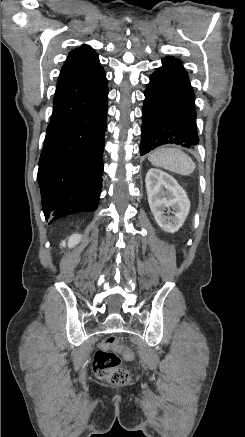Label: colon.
<instances>
[{"label":"colon","mask_w":245,"mask_h":437,"mask_svg":"<svg viewBox=\"0 0 245 437\" xmlns=\"http://www.w3.org/2000/svg\"><path fill=\"white\" fill-rule=\"evenodd\" d=\"M121 354L125 359L134 357L133 351L127 346L118 342L115 336H107L96 351L93 360L94 374L111 384L122 385L128 382L129 372L120 366Z\"/></svg>","instance_id":"5ec220e1"}]
</instances>
